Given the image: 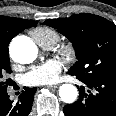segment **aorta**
Listing matches in <instances>:
<instances>
[{
  "label": "aorta",
  "mask_w": 116,
  "mask_h": 116,
  "mask_svg": "<svg viewBox=\"0 0 116 116\" xmlns=\"http://www.w3.org/2000/svg\"><path fill=\"white\" fill-rule=\"evenodd\" d=\"M9 51L12 59L21 64L32 63L38 56L37 46L26 36L14 38L10 43ZM59 95L63 102L70 104L76 101L78 91L72 84H63L60 87Z\"/></svg>",
  "instance_id": "1"
}]
</instances>
